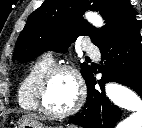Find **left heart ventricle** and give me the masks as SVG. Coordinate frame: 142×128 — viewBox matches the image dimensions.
<instances>
[{"instance_id":"b2bd125f","label":"left heart ventricle","mask_w":142,"mask_h":128,"mask_svg":"<svg viewBox=\"0 0 142 128\" xmlns=\"http://www.w3.org/2000/svg\"><path fill=\"white\" fill-rule=\"evenodd\" d=\"M77 96L76 83L68 72H58L50 80L46 93L45 105L54 112L68 110Z\"/></svg>"}]
</instances>
